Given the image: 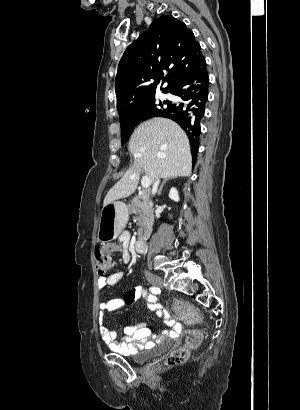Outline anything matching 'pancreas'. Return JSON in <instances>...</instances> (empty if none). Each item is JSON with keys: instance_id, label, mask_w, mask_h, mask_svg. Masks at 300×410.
I'll return each mask as SVG.
<instances>
[{"instance_id": "obj_1", "label": "pancreas", "mask_w": 300, "mask_h": 410, "mask_svg": "<svg viewBox=\"0 0 300 410\" xmlns=\"http://www.w3.org/2000/svg\"><path fill=\"white\" fill-rule=\"evenodd\" d=\"M129 212L134 213L137 225L140 227L138 234L141 236L144 229L151 231L153 225V214L149 210L147 197L145 194L136 196L128 205Z\"/></svg>"}]
</instances>
